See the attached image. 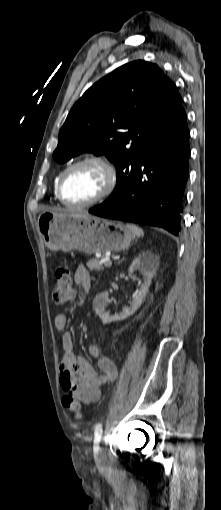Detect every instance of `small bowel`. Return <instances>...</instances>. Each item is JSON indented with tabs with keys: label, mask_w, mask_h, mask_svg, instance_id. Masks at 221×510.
Instances as JSON below:
<instances>
[{
	"label": "small bowel",
	"mask_w": 221,
	"mask_h": 510,
	"mask_svg": "<svg viewBox=\"0 0 221 510\" xmlns=\"http://www.w3.org/2000/svg\"><path fill=\"white\" fill-rule=\"evenodd\" d=\"M74 280L84 291L91 288V276L87 268L78 265L75 269ZM55 327L59 330L66 328L68 318L59 313L54 319ZM64 355L60 364V386L66 395H71L86 404L100 399L102 386L117 376V367L112 359L103 356L95 344L88 345L89 354L96 360L102 372L99 374L83 357L74 352V337L65 333L62 337Z\"/></svg>",
	"instance_id": "small-bowel-1"
}]
</instances>
